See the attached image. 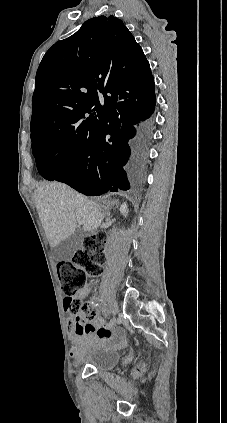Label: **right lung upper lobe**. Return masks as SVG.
Masks as SVG:
<instances>
[{
  "label": "right lung upper lobe",
  "mask_w": 227,
  "mask_h": 423,
  "mask_svg": "<svg viewBox=\"0 0 227 423\" xmlns=\"http://www.w3.org/2000/svg\"><path fill=\"white\" fill-rule=\"evenodd\" d=\"M153 91L149 63L123 22L113 16L89 19L55 43L40 63L32 98V143L56 135L93 138L106 123L110 105Z\"/></svg>",
  "instance_id": "cb5924a9"
}]
</instances>
